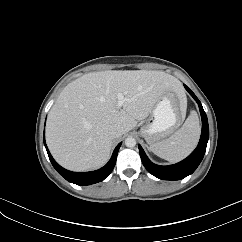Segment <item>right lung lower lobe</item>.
Here are the masks:
<instances>
[{
	"label": "right lung lower lobe",
	"mask_w": 242,
	"mask_h": 242,
	"mask_svg": "<svg viewBox=\"0 0 242 242\" xmlns=\"http://www.w3.org/2000/svg\"><path fill=\"white\" fill-rule=\"evenodd\" d=\"M44 145L46 147L49 159L53 165V167L58 171L60 175H62L67 181L77 184V185H90L94 184L100 181H103L113 170L116 159H117V154L119 151V148L121 146V143H119L116 148L114 149V152L112 154L111 159L109 162L102 167L101 169H98L96 171H91V172H72L68 171L64 168H62L51 156L47 145L45 143V136H44Z\"/></svg>",
	"instance_id": "right-lung-lower-lobe-1"
}]
</instances>
